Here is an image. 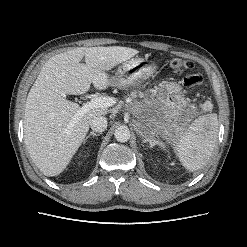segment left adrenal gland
I'll return each mask as SVG.
<instances>
[{
  "label": "left adrenal gland",
  "mask_w": 247,
  "mask_h": 247,
  "mask_svg": "<svg viewBox=\"0 0 247 247\" xmlns=\"http://www.w3.org/2000/svg\"><path fill=\"white\" fill-rule=\"evenodd\" d=\"M144 142H149L151 148H153L155 145H159L161 147H164V144L162 142H160L159 140H156V139H146V140H144Z\"/></svg>",
  "instance_id": "left-adrenal-gland-1"
}]
</instances>
